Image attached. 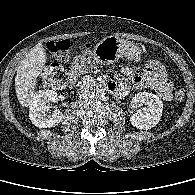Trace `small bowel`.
<instances>
[{
  "label": "small bowel",
  "mask_w": 195,
  "mask_h": 195,
  "mask_svg": "<svg viewBox=\"0 0 195 195\" xmlns=\"http://www.w3.org/2000/svg\"><path fill=\"white\" fill-rule=\"evenodd\" d=\"M121 72L131 76V81L136 87H147L155 91L163 100L172 98V83L169 79L161 80L151 75L146 70L140 72L138 68L122 66ZM129 91V85L124 83L118 87L117 97L125 96Z\"/></svg>",
  "instance_id": "1"
}]
</instances>
